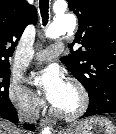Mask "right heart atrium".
<instances>
[{
	"mask_svg": "<svg viewBox=\"0 0 116 134\" xmlns=\"http://www.w3.org/2000/svg\"><path fill=\"white\" fill-rule=\"evenodd\" d=\"M7 97L10 103L22 113L36 114L40 108V101L17 82L9 83Z\"/></svg>",
	"mask_w": 116,
	"mask_h": 134,
	"instance_id": "right-heart-atrium-1",
	"label": "right heart atrium"
}]
</instances>
